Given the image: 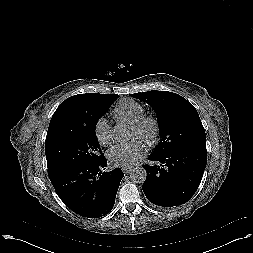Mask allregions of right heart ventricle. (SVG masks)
<instances>
[{
    "label": "right heart ventricle",
    "mask_w": 253,
    "mask_h": 253,
    "mask_svg": "<svg viewBox=\"0 0 253 253\" xmlns=\"http://www.w3.org/2000/svg\"><path fill=\"white\" fill-rule=\"evenodd\" d=\"M112 114L119 121L132 124L144 115V109L132 99H122L114 106Z\"/></svg>",
    "instance_id": "obj_1"
}]
</instances>
